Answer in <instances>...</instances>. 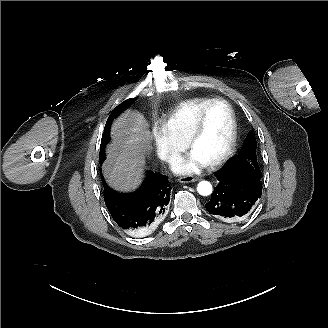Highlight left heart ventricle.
<instances>
[{
    "instance_id": "b2bd125f",
    "label": "left heart ventricle",
    "mask_w": 328,
    "mask_h": 328,
    "mask_svg": "<svg viewBox=\"0 0 328 328\" xmlns=\"http://www.w3.org/2000/svg\"><path fill=\"white\" fill-rule=\"evenodd\" d=\"M231 133L232 122L229 109L224 104H217L208 111L203 128L190 149L197 151L208 162H211L224 153Z\"/></svg>"
}]
</instances>
